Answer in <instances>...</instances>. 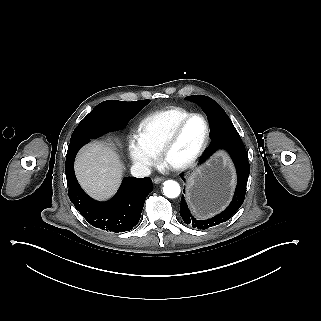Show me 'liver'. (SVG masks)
I'll use <instances>...</instances> for the list:
<instances>
[{
  "mask_svg": "<svg viewBox=\"0 0 321 321\" xmlns=\"http://www.w3.org/2000/svg\"><path fill=\"white\" fill-rule=\"evenodd\" d=\"M122 163L114 152L102 143L85 147L76 161V173L83 187L96 197L114 191L120 180Z\"/></svg>",
  "mask_w": 321,
  "mask_h": 321,
  "instance_id": "obj_1",
  "label": "liver"
}]
</instances>
